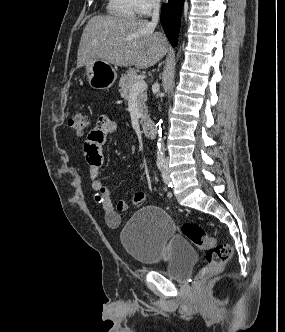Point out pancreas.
<instances>
[{"label":"pancreas","instance_id":"obj_1","mask_svg":"<svg viewBox=\"0 0 285 332\" xmlns=\"http://www.w3.org/2000/svg\"><path fill=\"white\" fill-rule=\"evenodd\" d=\"M139 80H140L139 76L134 69L127 70L126 73L122 75L119 81L121 97L128 100L134 84ZM146 100H147L146 91H143L138 94L139 110L141 112L140 123L145 122L148 117L147 106L145 104Z\"/></svg>","mask_w":285,"mask_h":332}]
</instances>
